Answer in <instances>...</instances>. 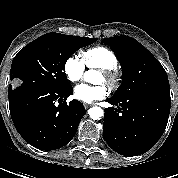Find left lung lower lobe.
Segmentation results:
<instances>
[{"instance_id":"left-lung-lower-lobe-1","label":"left lung lower lobe","mask_w":178,"mask_h":178,"mask_svg":"<svg viewBox=\"0 0 178 178\" xmlns=\"http://www.w3.org/2000/svg\"><path fill=\"white\" fill-rule=\"evenodd\" d=\"M117 108L105 110L103 133L107 144L124 156H137L151 149L167 126L171 102L137 94L107 100Z\"/></svg>"}]
</instances>
